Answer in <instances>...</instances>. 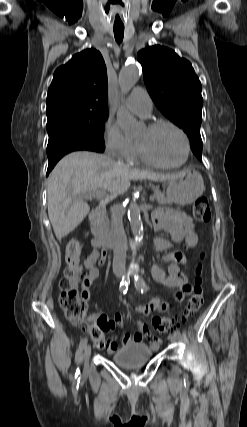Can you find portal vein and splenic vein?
Returning <instances> with one entry per match:
<instances>
[{"instance_id":"1","label":"portal vein and splenic vein","mask_w":247,"mask_h":427,"mask_svg":"<svg viewBox=\"0 0 247 427\" xmlns=\"http://www.w3.org/2000/svg\"><path fill=\"white\" fill-rule=\"evenodd\" d=\"M102 194H103V192L101 190H97V191H95L93 193H90V194H84L83 196L90 195V196H97V197H99V196H102ZM154 199H155V195H151L150 196V201H154Z\"/></svg>"}]
</instances>
